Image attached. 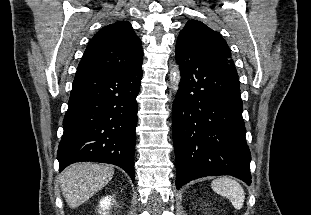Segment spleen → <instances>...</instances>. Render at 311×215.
Listing matches in <instances>:
<instances>
[{
	"label": "spleen",
	"mask_w": 311,
	"mask_h": 215,
	"mask_svg": "<svg viewBox=\"0 0 311 215\" xmlns=\"http://www.w3.org/2000/svg\"><path fill=\"white\" fill-rule=\"evenodd\" d=\"M211 187L217 194L228 198L235 209H241L243 207L245 192L237 181L221 177L213 180Z\"/></svg>",
	"instance_id": "spleen-1"
}]
</instances>
